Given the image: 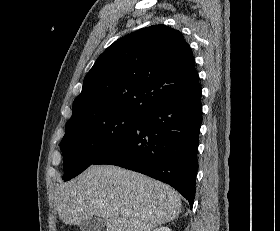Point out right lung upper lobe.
Listing matches in <instances>:
<instances>
[{
	"label": "right lung upper lobe",
	"mask_w": 280,
	"mask_h": 231,
	"mask_svg": "<svg viewBox=\"0 0 280 231\" xmlns=\"http://www.w3.org/2000/svg\"><path fill=\"white\" fill-rule=\"evenodd\" d=\"M201 91L182 33L153 25L117 40L99 56L84 78L70 119L143 116L159 104Z\"/></svg>",
	"instance_id": "obj_1"
}]
</instances>
